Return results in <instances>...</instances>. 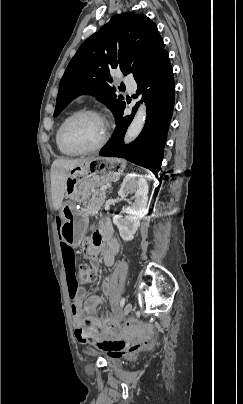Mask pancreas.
<instances>
[{
  "instance_id": "obj_1",
  "label": "pancreas",
  "mask_w": 243,
  "mask_h": 404,
  "mask_svg": "<svg viewBox=\"0 0 243 404\" xmlns=\"http://www.w3.org/2000/svg\"><path fill=\"white\" fill-rule=\"evenodd\" d=\"M101 188V186H99ZM93 196L89 200L84 212L86 216H97L102 204L105 202L106 192L105 190H99L98 193H92Z\"/></svg>"
}]
</instances>
